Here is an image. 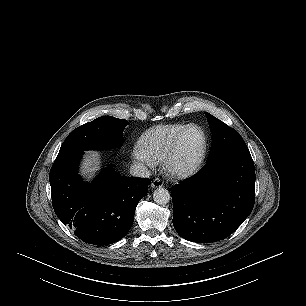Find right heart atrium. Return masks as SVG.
Here are the masks:
<instances>
[{"label":"right heart atrium","instance_id":"d8ad5b80","mask_svg":"<svg viewBox=\"0 0 306 306\" xmlns=\"http://www.w3.org/2000/svg\"><path fill=\"white\" fill-rule=\"evenodd\" d=\"M133 159L148 168H153L156 164V161L141 147H135L132 150Z\"/></svg>","mask_w":306,"mask_h":306}]
</instances>
